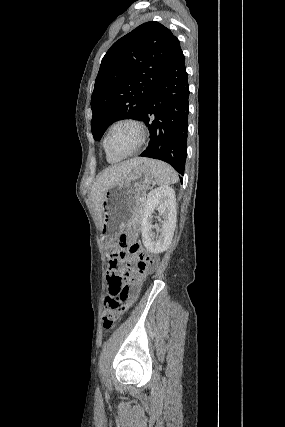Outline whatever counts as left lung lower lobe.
Here are the masks:
<instances>
[{
	"label": "left lung lower lobe",
	"instance_id": "0a47b994",
	"mask_svg": "<svg viewBox=\"0 0 285 427\" xmlns=\"http://www.w3.org/2000/svg\"><path fill=\"white\" fill-rule=\"evenodd\" d=\"M188 98V75L181 52L155 88L139 119L150 132L149 145L140 156L165 161L181 176L187 155Z\"/></svg>",
	"mask_w": 285,
	"mask_h": 427
}]
</instances>
